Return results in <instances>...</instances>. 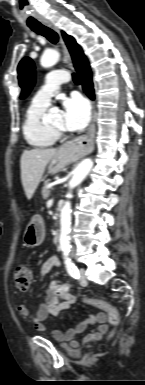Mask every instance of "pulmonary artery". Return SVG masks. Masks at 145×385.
I'll list each match as a JSON object with an SVG mask.
<instances>
[{"label": "pulmonary artery", "mask_w": 145, "mask_h": 385, "mask_svg": "<svg viewBox=\"0 0 145 385\" xmlns=\"http://www.w3.org/2000/svg\"><path fill=\"white\" fill-rule=\"evenodd\" d=\"M69 81V75L63 70H54L47 74L46 82L35 94L33 102L49 105L51 97L55 95L61 84Z\"/></svg>", "instance_id": "obj_1"}]
</instances>
